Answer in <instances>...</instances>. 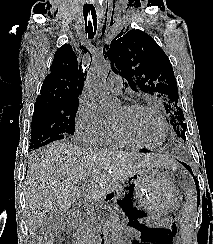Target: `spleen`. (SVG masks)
<instances>
[{
	"instance_id": "3e777b00",
	"label": "spleen",
	"mask_w": 213,
	"mask_h": 244,
	"mask_svg": "<svg viewBox=\"0 0 213 244\" xmlns=\"http://www.w3.org/2000/svg\"><path fill=\"white\" fill-rule=\"evenodd\" d=\"M197 215V195L195 189L187 192L180 220L181 237L185 244H190Z\"/></svg>"
}]
</instances>
